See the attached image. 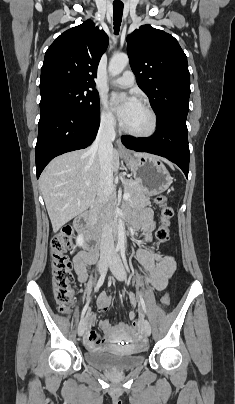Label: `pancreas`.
<instances>
[{
  "mask_svg": "<svg viewBox=\"0 0 235 404\" xmlns=\"http://www.w3.org/2000/svg\"><path fill=\"white\" fill-rule=\"evenodd\" d=\"M124 192L130 193L131 196L128 199V202L132 206H142L149 204V195L145 191L143 185L138 181L133 180H124ZM104 213L108 216L116 215V200L112 199L108 206L104 209Z\"/></svg>",
  "mask_w": 235,
  "mask_h": 404,
  "instance_id": "cf45deb5",
  "label": "pancreas"
}]
</instances>
